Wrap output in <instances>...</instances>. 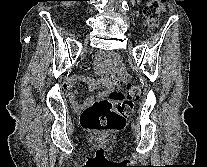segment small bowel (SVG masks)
<instances>
[{
	"instance_id": "obj_1",
	"label": "small bowel",
	"mask_w": 207,
	"mask_h": 167,
	"mask_svg": "<svg viewBox=\"0 0 207 167\" xmlns=\"http://www.w3.org/2000/svg\"><path fill=\"white\" fill-rule=\"evenodd\" d=\"M118 73L120 76L124 77L125 76L124 68L119 66ZM75 82L86 83L92 91L104 88L106 86V81L104 78H102L100 80H95L91 77L84 76V75H77V76L70 77L65 84V90L67 92L69 101L71 102L72 106L76 110H81V109H85V108L89 107L96 99V96L87 97L85 99V101L83 102V104L79 105L77 102V92L74 89Z\"/></svg>"
}]
</instances>
